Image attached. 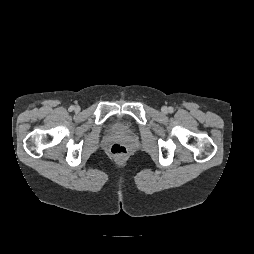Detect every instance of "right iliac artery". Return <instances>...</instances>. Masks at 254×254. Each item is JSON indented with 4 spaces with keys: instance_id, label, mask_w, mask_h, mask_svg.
I'll return each mask as SVG.
<instances>
[{
    "instance_id": "82829eb1",
    "label": "right iliac artery",
    "mask_w": 254,
    "mask_h": 254,
    "mask_svg": "<svg viewBox=\"0 0 254 254\" xmlns=\"http://www.w3.org/2000/svg\"><path fill=\"white\" fill-rule=\"evenodd\" d=\"M72 110H74V106L69 107V111H72Z\"/></svg>"
}]
</instances>
